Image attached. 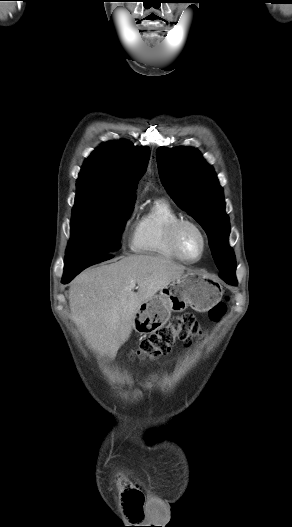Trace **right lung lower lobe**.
<instances>
[{"instance_id":"1","label":"right lung lower lobe","mask_w":292,"mask_h":527,"mask_svg":"<svg viewBox=\"0 0 292 527\" xmlns=\"http://www.w3.org/2000/svg\"><path fill=\"white\" fill-rule=\"evenodd\" d=\"M113 256L108 254H99L85 257H66L64 261V274L62 283H69L83 269L96 263L111 259Z\"/></svg>"}]
</instances>
